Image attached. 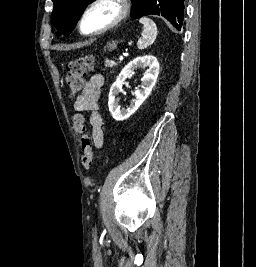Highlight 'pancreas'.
Segmentation results:
<instances>
[{"mask_svg":"<svg viewBox=\"0 0 256 267\" xmlns=\"http://www.w3.org/2000/svg\"><path fill=\"white\" fill-rule=\"evenodd\" d=\"M106 68H113V66H117L116 62H110V60H106L105 62Z\"/></svg>","mask_w":256,"mask_h":267,"instance_id":"cf45deb5","label":"pancreas"}]
</instances>
